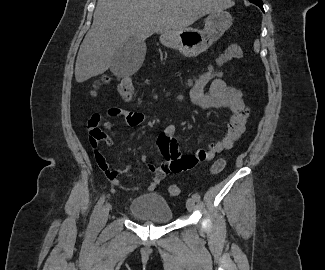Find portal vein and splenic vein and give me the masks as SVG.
<instances>
[{"instance_id": "18ae733b", "label": "portal vein and splenic vein", "mask_w": 325, "mask_h": 270, "mask_svg": "<svg viewBox=\"0 0 325 270\" xmlns=\"http://www.w3.org/2000/svg\"><path fill=\"white\" fill-rule=\"evenodd\" d=\"M161 9H162L161 7L158 8L159 11H160Z\"/></svg>"}]
</instances>
